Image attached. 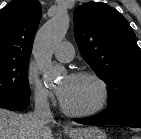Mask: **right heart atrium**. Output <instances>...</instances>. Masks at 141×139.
Wrapping results in <instances>:
<instances>
[{"label": "right heart atrium", "instance_id": "right-heart-atrium-1", "mask_svg": "<svg viewBox=\"0 0 141 139\" xmlns=\"http://www.w3.org/2000/svg\"><path fill=\"white\" fill-rule=\"evenodd\" d=\"M26 84L36 104L48 106L54 101L53 93L41 82L33 67L26 71Z\"/></svg>", "mask_w": 141, "mask_h": 139}]
</instances>
